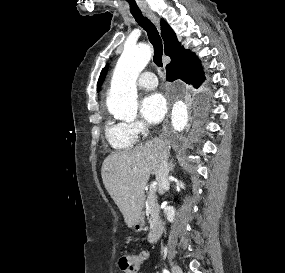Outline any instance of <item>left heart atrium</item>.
<instances>
[{
	"label": "left heart atrium",
	"instance_id": "39dd6f15",
	"mask_svg": "<svg viewBox=\"0 0 285 273\" xmlns=\"http://www.w3.org/2000/svg\"><path fill=\"white\" fill-rule=\"evenodd\" d=\"M167 111V104L160 93L147 95L140 103L142 117L149 123L160 122Z\"/></svg>",
	"mask_w": 285,
	"mask_h": 273
}]
</instances>
